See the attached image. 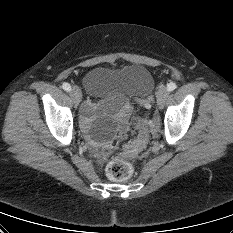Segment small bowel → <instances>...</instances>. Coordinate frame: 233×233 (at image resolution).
Segmentation results:
<instances>
[{
  "mask_svg": "<svg viewBox=\"0 0 233 233\" xmlns=\"http://www.w3.org/2000/svg\"><path fill=\"white\" fill-rule=\"evenodd\" d=\"M97 109V104L92 101H87L83 107V121L88 123L91 116Z\"/></svg>",
  "mask_w": 233,
  "mask_h": 233,
  "instance_id": "obj_1",
  "label": "small bowel"
}]
</instances>
